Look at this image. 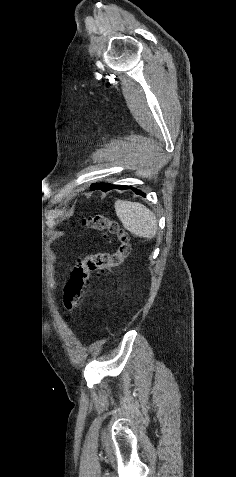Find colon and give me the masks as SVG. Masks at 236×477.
I'll use <instances>...</instances> for the list:
<instances>
[{
    "label": "colon",
    "mask_w": 236,
    "mask_h": 477,
    "mask_svg": "<svg viewBox=\"0 0 236 477\" xmlns=\"http://www.w3.org/2000/svg\"><path fill=\"white\" fill-rule=\"evenodd\" d=\"M84 225L96 232L118 239L119 245L113 252H96L80 260L64 287V306L72 314L80 305L92 275L104 274L118 268L130 254L128 235L119 223L104 214H95L84 221Z\"/></svg>",
    "instance_id": "colon-1"
}]
</instances>
